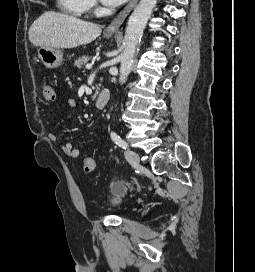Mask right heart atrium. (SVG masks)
<instances>
[{"label":"right heart atrium","mask_w":255,"mask_h":272,"mask_svg":"<svg viewBox=\"0 0 255 272\" xmlns=\"http://www.w3.org/2000/svg\"><path fill=\"white\" fill-rule=\"evenodd\" d=\"M86 9L89 10L95 6V0H85Z\"/></svg>","instance_id":"obj_1"}]
</instances>
